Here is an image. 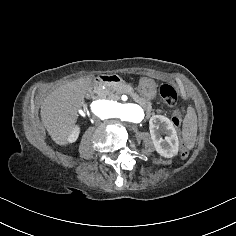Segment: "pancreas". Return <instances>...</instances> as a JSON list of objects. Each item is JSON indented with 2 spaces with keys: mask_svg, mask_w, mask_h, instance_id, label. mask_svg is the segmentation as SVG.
Wrapping results in <instances>:
<instances>
[{
  "mask_svg": "<svg viewBox=\"0 0 236 236\" xmlns=\"http://www.w3.org/2000/svg\"><path fill=\"white\" fill-rule=\"evenodd\" d=\"M122 94L130 95L134 101H136L147 112V114H151L152 103L135 93L130 84L120 83L114 86H106L105 89L98 87V96L102 99L119 100L120 95ZM157 111L160 112L161 110Z\"/></svg>",
  "mask_w": 236,
  "mask_h": 236,
  "instance_id": "obj_1",
  "label": "pancreas"
}]
</instances>
